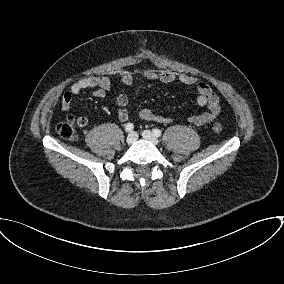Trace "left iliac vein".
Segmentation results:
<instances>
[{
  "mask_svg": "<svg viewBox=\"0 0 284 284\" xmlns=\"http://www.w3.org/2000/svg\"><path fill=\"white\" fill-rule=\"evenodd\" d=\"M142 137L150 142H152L154 145H157L159 143L158 138L149 130H144L142 132Z\"/></svg>",
  "mask_w": 284,
  "mask_h": 284,
  "instance_id": "1",
  "label": "left iliac vein"
}]
</instances>
